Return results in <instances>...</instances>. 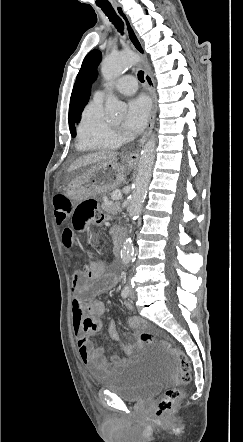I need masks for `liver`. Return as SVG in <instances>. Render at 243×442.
Returning <instances> with one entry per match:
<instances>
[{
	"label": "liver",
	"instance_id": "liver-1",
	"mask_svg": "<svg viewBox=\"0 0 243 442\" xmlns=\"http://www.w3.org/2000/svg\"><path fill=\"white\" fill-rule=\"evenodd\" d=\"M118 153L114 151H99L85 155L83 157L75 160L69 167L68 172H72L81 167H86L88 165L104 162V161H115L117 159Z\"/></svg>",
	"mask_w": 243,
	"mask_h": 442
}]
</instances>
